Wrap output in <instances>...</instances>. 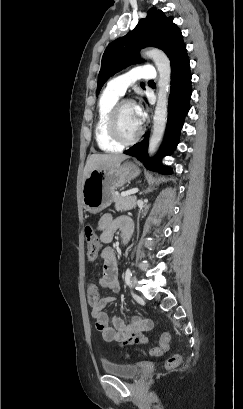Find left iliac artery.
Returning <instances> with one entry per match:
<instances>
[{
	"label": "left iliac artery",
	"instance_id": "left-iliac-artery-1",
	"mask_svg": "<svg viewBox=\"0 0 243 409\" xmlns=\"http://www.w3.org/2000/svg\"><path fill=\"white\" fill-rule=\"evenodd\" d=\"M131 278H132V272H131V270L128 268V269L126 270V273H125V281H126V284H127V285H130V284H131Z\"/></svg>",
	"mask_w": 243,
	"mask_h": 409
}]
</instances>
